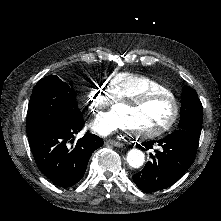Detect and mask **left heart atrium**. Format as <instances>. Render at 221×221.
<instances>
[{
    "label": "left heart atrium",
    "mask_w": 221,
    "mask_h": 221,
    "mask_svg": "<svg viewBox=\"0 0 221 221\" xmlns=\"http://www.w3.org/2000/svg\"><path fill=\"white\" fill-rule=\"evenodd\" d=\"M136 122L137 115L131 109L110 111L101 114L97 121L91 124V129L101 135H109L115 130L131 128Z\"/></svg>",
    "instance_id": "1"
}]
</instances>
